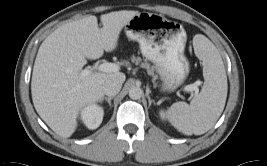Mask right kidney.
Wrapping results in <instances>:
<instances>
[{"instance_id": "ca27d5eb", "label": "right kidney", "mask_w": 267, "mask_h": 166, "mask_svg": "<svg viewBox=\"0 0 267 166\" xmlns=\"http://www.w3.org/2000/svg\"><path fill=\"white\" fill-rule=\"evenodd\" d=\"M104 110L102 107L92 104L85 107L81 112V118L89 129H96L103 120Z\"/></svg>"}]
</instances>
